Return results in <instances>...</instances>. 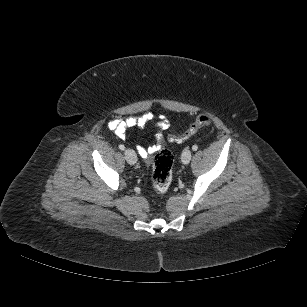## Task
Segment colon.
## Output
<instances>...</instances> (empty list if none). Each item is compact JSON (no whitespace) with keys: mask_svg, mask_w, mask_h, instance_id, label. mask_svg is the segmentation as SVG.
<instances>
[{"mask_svg":"<svg viewBox=\"0 0 307 307\" xmlns=\"http://www.w3.org/2000/svg\"><path fill=\"white\" fill-rule=\"evenodd\" d=\"M211 117L207 114L199 115L189 128L181 135H171L174 142H182L190 138L198 129L211 125ZM174 157L168 149H160L156 153L153 162L152 184L159 193H164L170 187L173 176Z\"/></svg>","mask_w":307,"mask_h":307,"instance_id":"1","label":"colon"}]
</instances>
